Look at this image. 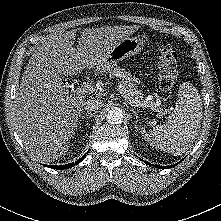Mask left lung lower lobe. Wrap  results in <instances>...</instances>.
<instances>
[{
	"label": "left lung lower lobe",
	"instance_id": "1",
	"mask_svg": "<svg viewBox=\"0 0 221 221\" xmlns=\"http://www.w3.org/2000/svg\"><path fill=\"white\" fill-rule=\"evenodd\" d=\"M145 163H147V164H149L147 161H145ZM180 163V162H179ZM178 164V163H177ZM177 164H175V165H177ZM149 165H151V164H149ZM175 165H171V166H158V165H153L155 168H159V169H161V168H163V169H165V168H172V167H174Z\"/></svg>",
	"mask_w": 221,
	"mask_h": 221
}]
</instances>
